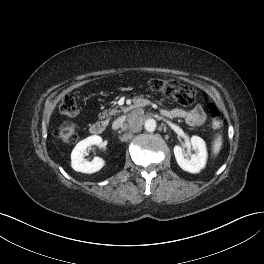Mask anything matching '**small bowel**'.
I'll return each instance as SVG.
<instances>
[{
  "instance_id": "obj_1",
  "label": "small bowel",
  "mask_w": 264,
  "mask_h": 264,
  "mask_svg": "<svg viewBox=\"0 0 264 264\" xmlns=\"http://www.w3.org/2000/svg\"><path fill=\"white\" fill-rule=\"evenodd\" d=\"M163 114L169 118H181L188 125L199 126L202 125L206 120V115L201 105H196L192 109H164Z\"/></svg>"
}]
</instances>
